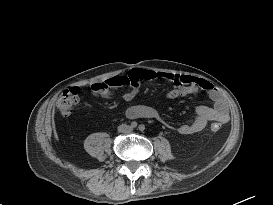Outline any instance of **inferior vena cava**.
<instances>
[{"instance_id":"obj_1","label":"inferior vena cava","mask_w":273,"mask_h":205,"mask_svg":"<svg viewBox=\"0 0 273 205\" xmlns=\"http://www.w3.org/2000/svg\"><path fill=\"white\" fill-rule=\"evenodd\" d=\"M118 131L119 132H124V133H127V132H130L131 131V128L129 125H126V124H122L118 127Z\"/></svg>"}]
</instances>
